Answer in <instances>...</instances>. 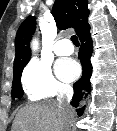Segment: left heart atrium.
I'll return each mask as SVG.
<instances>
[{"mask_svg":"<svg viewBox=\"0 0 117 131\" xmlns=\"http://www.w3.org/2000/svg\"><path fill=\"white\" fill-rule=\"evenodd\" d=\"M55 68L57 75L64 81H73L80 74L78 62L70 58L58 60Z\"/></svg>","mask_w":117,"mask_h":131,"instance_id":"1","label":"left heart atrium"}]
</instances>
